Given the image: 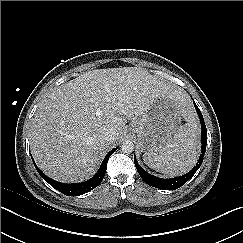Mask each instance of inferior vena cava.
I'll use <instances>...</instances> for the list:
<instances>
[{"mask_svg":"<svg viewBox=\"0 0 243 243\" xmlns=\"http://www.w3.org/2000/svg\"><path fill=\"white\" fill-rule=\"evenodd\" d=\"M114 136H115V131L113 129H108L103 133L102 139L107 142H112L114 140Z\"/></svg>","mask_w":243,"mask_h":243,"instance_id":"inferior-vena-cava-1","label":"inferior vena cava"}]
</instances>
